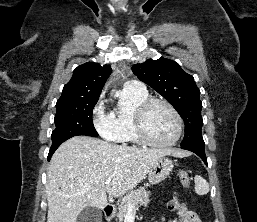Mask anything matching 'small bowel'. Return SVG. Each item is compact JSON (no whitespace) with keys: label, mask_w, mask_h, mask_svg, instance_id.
<instances>
[{"label":"small bowel","mask_w":257,"mask_h":222,"mask_svg":"<svg viewBox=\"0 0 257 222\" xmlns=\"http://www.w3.org/2000/svg\"><path fill=\"white\" fill-rule=\"evenodd\" d=\"M179 222H201L197 214L189 210L185 203L181 204L177 209Z\"/></svg>","instance_id":"1"}]
</instances>
